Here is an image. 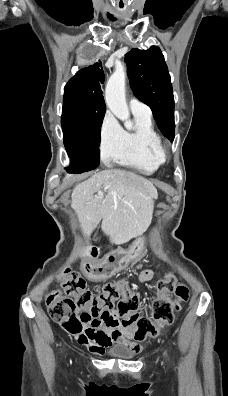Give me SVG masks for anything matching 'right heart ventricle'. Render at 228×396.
<instances>
[{"label":"right heart ventricle","instance_id":"obj_1","mask_svg":"<svg viewBox=\"0 0 228 396\" xmlns=\"http://www.w3.org/2000/svg\"><path fill=\"white\" fill-rule=\"evenodd\" d=\"M134 118L135 128L123 130L122 144L114 161L141 173L152 174L162 164L153 154L154 147L161 143V139L151 116L134 114Z\"/></svg>","mask_w":228,"mask_h":396}]
</instances>
